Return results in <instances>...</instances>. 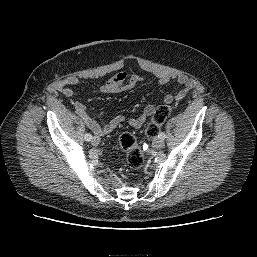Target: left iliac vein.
Instances as JSON below:
<instances>
[{
    "label": "left iliac vein",
    "instance_id": "4c4485c4",
    "mask_svg": "<svg viewBox=\"0 0 257 257\" xmlns=\"http://www.w3.org/2000/svg\"><path fill=\"white\" fill-rule=\"evenodd\" d=\"M165 146V142L162 139H156L153 142V147L156 149H162Z\"/></svg>",
    "mask_w": 257,
    "mask_h": 257
}]
</instances>
